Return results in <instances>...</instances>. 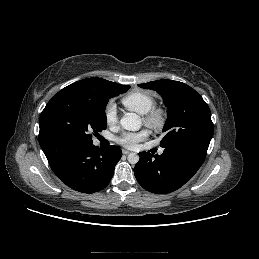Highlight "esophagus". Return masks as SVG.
Segmentation results:
<instances>
[{"label": "esophagus", "mask_w": 259, "mask_h": 259, "mask_svg": "<svg viewBox=\"0 0 259 259\" xmlns=\"http://www.w3.org/2000/svg\"><path fill=\"white\" fill-rule=\"evenodd\" d=\"M122 153H123L124 155H128V154L130 153V151L123 149V150H122Z\"/></svg>", "instance_id": "1"}]
</instances>
